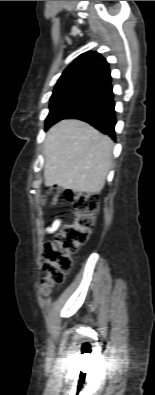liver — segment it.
<instances>
[{
  "mask_svg": "<svg viewBox=\"0 0 155 395\" xmlns=\"http://www.w3.org/2000/svg\"><path fill=\"white\" fill-rule=\"evenodd\" d=\"M113 141L80 120L52 126L44 142L46 186L78 193H99L111 168Z\"/></svg>",
  "mask_w": 155,
  "mask_h": 395,
  "instance_id": "liver-1",
  "label": "liver"
}]
</instances>
